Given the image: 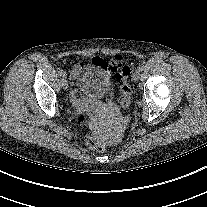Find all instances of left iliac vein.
<instances>
[{
  "instance_id": "obj_1",
  "label": "left iliac vein",
  "mask_w": 207,
  "mask_h": 207,
  "mask_svg": "<svg viewBox=\"0 0 207 207\" xmlns=\"http://www.w3.org/2000/svg\"><path fill=\"white\" fill-rule=\"evenodd\" d=\"M132 79L134 81H138L140 79V71L139 70H136L133 75H132Z\"/></svg>"
}]
</instances>
